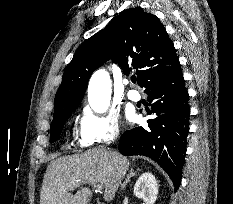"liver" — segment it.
<instances>
[{"mask_svg":"<svg viewBox=\"0 0 233 204\" xmlns=\"http://www.w3.org/2000/svg\"><path fill=\"white\" fill-rule=\"evenodd\" d=\"M129 166L126 157L105 149H89L81 154L56 158L44 175L40 204H88L92 192L89 187H83L87 183L101 184L103 198L109 202L114 199ZM79 186L75 195L68 192Z\"/></svg>","mask_w":233,"mask_h":204,"instance_id":"1","label":"liver"}]
</instances>
